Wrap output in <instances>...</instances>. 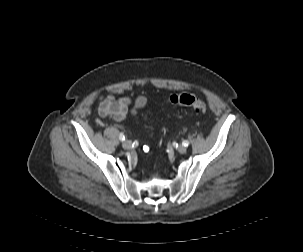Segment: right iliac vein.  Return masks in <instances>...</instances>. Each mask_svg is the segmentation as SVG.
<instances>
[{
    "label": "right iliac vein",
    "mask_w": 303,
    "mask_h": 252,
    "mask_svg": "<svg viewBox=\"0 0 303 252\" xmlns=\"http://www.w3.org/2000/svg\"><path fill=\"white\" fill-rule=\"evenodd\" d=\"M122 146H123V148H125V149H130L131 146H132V143H131V141H129V140H125V141H123Z\"/></svg>",
    "instance_id": "right-iliac-vein-1"
}]
</instances>
